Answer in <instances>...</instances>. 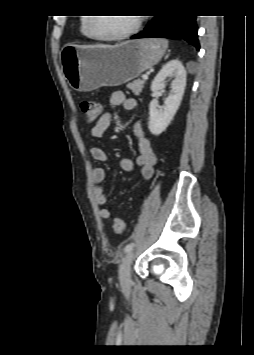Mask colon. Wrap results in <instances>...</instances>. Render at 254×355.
I'll use <instances>...</instances> for the list:
<instances>
[{
	"mask_svg": "<svg viewBox=\"0 0 254 355\" xmlns=\"http://www.w3.org/2000/svg\"><path fill=\"white\" fill-rule=\"evenodd\" d=\"M80 107L89 122L97 120L101 114V105L97 101L83 100ZM113 230L118 235L124 234L127 230L126 222L121 218H115L113 221Z\"/></svg>",
	"mask_w": 254,
	"mask_h": 355,
	"instance_id": "obj_1",
	"label": "colon"
}]
</instances>
